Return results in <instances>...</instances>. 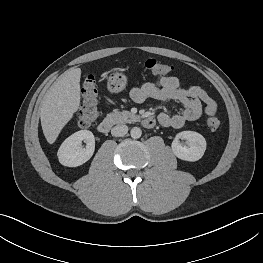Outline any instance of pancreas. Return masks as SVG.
<instances>
[{
    "label": "pancreas",
    "instance_id": "1",
    "mask_svg": "<svg viewBox=\"0 0 263 263\" xmlns=\"http://www.w3.org/2000/svg\"><path fill=\"white\" fill-rule=\"evenodd\" d=\"M108 120L112 121L113 123H131V122H135L137 121L139 118L132 114L131 112L129 111H113L109 114H107V117H106Z\"/></svg>",
    "mask_w": 263,
    "mask_h": 263
}]
</instances>
